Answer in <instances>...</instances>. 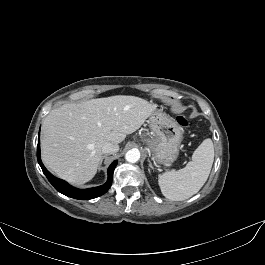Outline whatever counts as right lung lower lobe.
I'll list each match as a JSON object with an SVG mask.
<instances>
[{
    "mask_svg": "<svg viewBox=\"0 0 265 265\" xmlns=\"http://www.w3.org/2000/svg\"><path fill=\"white\" fill-rule=\"evenodd\" d=\"M37 160H38V163H39L43 173L45 174V176L47 177L49 182L54 186V188L57 191H59L60 193L66 195L68 197L75 198V199H82V200H89V199L99 197V196L105 194L109 190V188L111 187V184H112L113 171H114V169L118 163V161L115 160L109 166V168H108V180L105 184L98 186V187L89 188V189H77V188H74L71 185H69L64 180H61V179L54 177L45 168V166L42 164V161L40 158V141H39V138H38V147H37Z\"/></svg>",
    "mask_w": 265,
    "mask_h": 265,
    "instance_id": "obj_1",
    "label": "right lung lower lobe"
}]
</instances>
